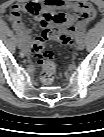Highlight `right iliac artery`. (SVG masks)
Returning a JSON list of instances; mask_svg holds the SVG:
<instances>
[{"label":"right iliac artery","mask_w":104,"mask_h":137,"mask_svg":"<svg viewBox=\"0 0 104 137\" xmlns=\"http://www.w3.org/2000/svg\"><path fill=\"white\" fill-rule=\"evenodd\" d=\"M15 29V28H14ZM16 30V29H15ZM17 31V30H16ZM17 36L18 37H20V39L22 40L23 39V37H22V35L17 31Z\"/></svg>","instance_id":"82829eb1"}]
</instances>
